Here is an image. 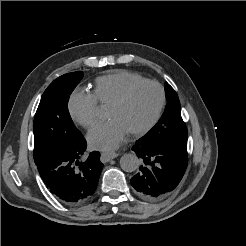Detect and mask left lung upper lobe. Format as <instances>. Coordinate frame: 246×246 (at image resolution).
<instances>
[{
    "mask_svg": "<svg viewBox=\"0 0 246 246\" xmlns=\"http://www.w3.org/2000/svg\"><path fill=\"white\" fill-rule=\"evenodd\" d=\"M166 98L168 100L165 111L158 123L142 138L149 142L161 139H187L186 125L181 117L180 101L174 89L165 83Z\"/></svg>",
    "mask_w": 246,
    "mask_h": 246,
    "instance_id": "1",
    "label": "left lung upper lobe"
}]
</instances>
